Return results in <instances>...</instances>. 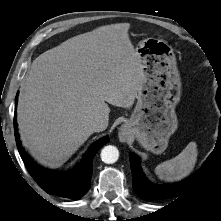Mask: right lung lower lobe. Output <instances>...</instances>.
Instances as JSON below:
<instances>
[{"label":"right lung lower lobe","instance_id":"right-lung-lower-lobe-1","mask_svg":"<svg viewBox=\"0 0 221 221\" xmlns=\"http://www.w3.org/2000/svg\"><path fill=\"white\" fill-rule=\"evenodd\" d=\"M18 96V94H17ZM15 98V108L18 98ZM16 111L14 114L15 140L20 156L34 180L48 194L79 199L89 189L91 183V175L93 171V159L97 151L109 141V137H103L90 146L85 153L82 161L71 172L59 173L48 170L38 165L32 158L28 156L22 147L19 139L16 122Z\"/></svg>","mask_w":221,"mask_h":221}]
</instances>
